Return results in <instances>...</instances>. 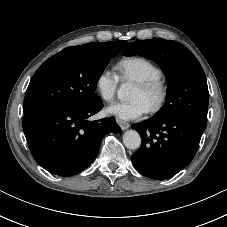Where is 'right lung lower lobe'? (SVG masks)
Segmentation results:
<instances>
[{"label":"right lung lower lobe","mask_w":227,"mask_h":227,"mask_svg":"<svg viewBox=\"0 0 227 227\" xmlns=\"http://www.w3.org/2000/svg\"><path fill=\"white\" fill-rule=\"evenodd\" d=\"M101 100L83 106H49L25 114L23 129L36 162L60 176L86 169L96 158L102 138L121 131L114 117L88 118L102 109Z\"/></svg>","instance_id":"obj_1"}]
</instances>
